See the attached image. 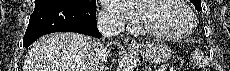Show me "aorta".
<instances>
[{
	"label": "aorta",
	"mask_w": 230,
	"mask_h": 71,
	"mask_svg": "<svg viewBox=\"0 0 230 71\" xmlns=\"http://www.w3.org/2000/svg\"><path fill=\"white\" fill-rule=\"evenodd\" d=\"M136 59L133 54H126L122 58L117 71H134Z\"/></svg>",
	"instance_id": "obj_1"
}]
</instances>
